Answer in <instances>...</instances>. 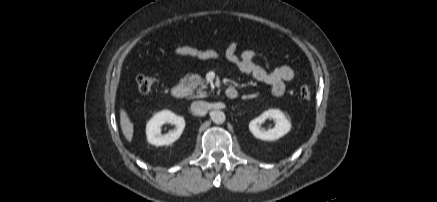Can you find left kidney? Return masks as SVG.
Returning a JSON list of instances; mask_svg holds the SVG:
<instances>
[{"label": "left kidney", "instance_id": "1", "mask_svg": "<svg viewBox=\"0 0 437 202\" xmlns=\"http://www.w3.org/2000/svg\"><path fill=\"white\" fill-rule=\"evenodd\" d=\"M266 119H273L275 122L274 128L263 129L260 127ZM291 123L285 115L278 109H270L263 112L259 117L253 119L249 123V130L258 139L272 141L279 139L289 132Z\"/></svg>", "mask_w": 437, "mask_h": 202}]
</instances>
